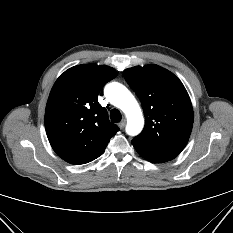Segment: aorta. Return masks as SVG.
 <instances>
[{
  "label": "aorta",
  "mask_w": 233,
  "mask_h": 233,
  "mask_svg": "<svg viewBox=\"0 0 233 233\" xmlns=\"http://www.w3.org/2000/svg\"><path fill=\"white\" fill-rule=\"evenodd\" d=\"M104 92L107 100L125 113L127 134L132 136L139 134L143 129L144 118L132 93L124 85L117 82L109 83Z\"/></svg>",
  "instance_id": "762f6f07"
}]
</instances>
